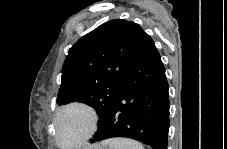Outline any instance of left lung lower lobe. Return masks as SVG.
Listing matches in <instances>:
<instances>
[{"instance_id":"left-lung-lower-lobe-1","label":"left lung lower lobe","mask_w":227,"mask_h":149,"mask_svg":"<svg viewBox=\"0 0 227 149\" xmlns=\"http://www.w3.org/2000/svg\"><path fill=\"white\" fill-rule=\"evenodd\" d=\"M168 130L165 68L153 40L144 32L121 90L90 142L127 137L153 149H167Z\"/></svg>"}]
</instances>
